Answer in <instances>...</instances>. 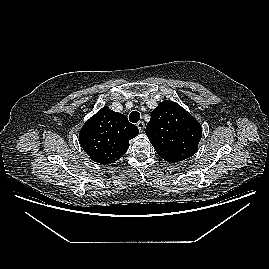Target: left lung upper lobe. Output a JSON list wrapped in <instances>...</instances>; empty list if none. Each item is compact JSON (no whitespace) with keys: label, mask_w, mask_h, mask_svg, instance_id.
Listing matches in <instances>:
<instances>
[{"label":"left lung upper lobe","mask_w":269,"mask_h":269,"mask_svg":"<svg viewBox=\"0 0 269 269\" xmlns=\"http://www.w3.org/2000/svg\"><path fill=\"white\" fill-rule=\"evenodd\" d=\"M145 132L157 154L169 163L193 156L202 137L200 123L170 100L159 103L152 111Z\"/></svg>","instance_id":"obj_1"}]
</instances>
